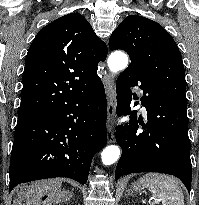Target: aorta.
<instances>
[{
  "mask_svg": "<svg viewBox=\"0 0 199 205\" xmlns=\"http://www.w3.org/2000/svg\"><path fill=\"white\" fill-rule=\"evenodd\" d=\"M108 67L111 72L117 73L128 65V57L122 51L112 53L108 58ZM120 157V148L115 145L107 146L101 153V160L105 166L115 163Z\"/></svg>",
  "mask_w": 199,
  "mask_h": 205,
  "instance_id": "762f6f07",
  "label": "aorta"
}]
</instances>
